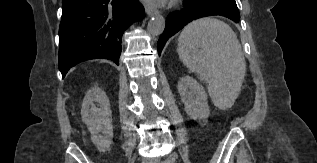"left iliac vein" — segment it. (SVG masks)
<instances>
[{"mask_svg":"<svg viewBox=\"0 0 317 163\" xmlns=\"http://www.w3.org/2000/svg\"><path fill=\"white\" fill-rule=\"evenodd\" d=\"M157 163H160V162H157ZM167 163H172V161H168Z\"/></svg>","mask_w":317,"mask_h":163,"instance_id":"1","label":"left iliac vein"}]
</instances>
